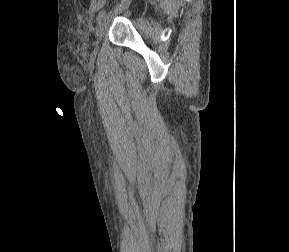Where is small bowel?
<instances>
[{
  "label": "small bowel",
  "instance_id": "c3829d8e",
  "mask_svg": "<svg viewBox=\"0 0 289 252\" xmlns=\"http://www.w3.org/2000/svg\"><path fill=\"white\" fill-rule=\"evenodd\" d=\"M107 0H88V12L95 13L100 10Z\"/></svg>",
  "mask_w": 289,
  "mask_h": 252
}]
</instances>
